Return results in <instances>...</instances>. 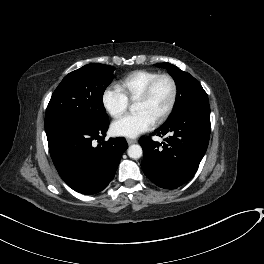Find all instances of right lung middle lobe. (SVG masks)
Segmentation results:
<instances>
[{"label":"right lung middle lobe","mask_w":264,"mask_h":264,"mask_svg":"<svg viewBox=\"0 0 264 264\" xmlns=\"http://www.w3.org/2000/svg\"><path fill=\"white\" fill-rule=\"evenodd\" d=\"M114 67L92 63L67 74L46 109L45 129L65 124L97 125L108 121L103 93L112 82Z\"/></svg>","instance_id":"1"}]
</instances>
